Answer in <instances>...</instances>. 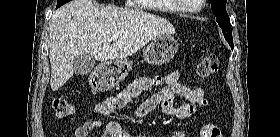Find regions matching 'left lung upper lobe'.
<instances>
[{
  "label": "left lung upper lobe",
  "mask_w": 280,
  "mask_h": 137,
  "mask_svg": "<svg viewBox=\"0 0 280 137\" xmlns=\"http://www.w3.org/2000/svg\"><path fill=\"white\" fill-rule=\"evenodd\" d=\"M211 3L212 12L216 16V21L222 29L223 35L231 48L233 49V38L230 24V18L226 12L227 0H209Z\"/></svg>",
  "instance_id": "5c2ea615"
}]
</instances>
